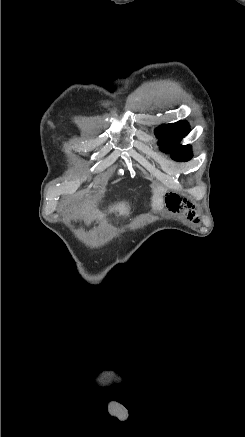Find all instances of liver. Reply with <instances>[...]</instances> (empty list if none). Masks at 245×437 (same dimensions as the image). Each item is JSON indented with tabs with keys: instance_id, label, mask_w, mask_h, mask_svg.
<instances>
[{
	"instance_id": "6515ba94",
	"label": "liver",
	"mask_w": 245,
	"mask_h": 437,
	"mask_svg": "<svg viewBox=\"0 0 245 437\" xmlns=\"http://www.w3.org/2000/svg\"><path fill=\"white\" fill-rule=\"evenodd\" d=\"M153 196H152V206L156 208L157 210H162L164 207V194L166 190L162 187L153 188L152 190ZM110 211H118L120 215H128L130 211V207L127 203L122 202L118 203L117 205L113 206ZM97 219L104 218V214L100 212H96Z\"/></svg>"
}]
</instances>
